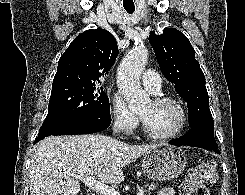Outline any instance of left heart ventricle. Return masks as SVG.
<instances>
[{"label": "left heart ventricle", "mask_w": 245, "mask_h": 195, "mask_svg": "<svg viewBox=\"0 0 245 195\" xmlns=\"http://www.w3.org/2000/svg\"><path fill=\"white\" fill-rule=\"evenodd\" d=\"M148 127L155 134H166L174 131L181 121L178 108L171 104L147 103L139 113Z\"/></svg>", "instance_id": "left-heart-ventricle-1"}]
</instances>
